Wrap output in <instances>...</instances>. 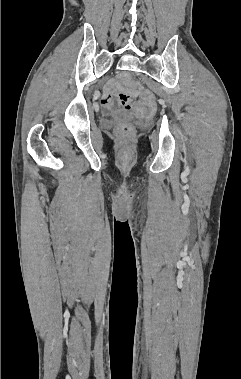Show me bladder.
I'll list each match as a JSON object with an SVG mask.
<instances>
[{
  "mask_svg": "<svg viewBox=\"0 0 241 379\" xmlns=\"http://www.w3.org/2000/svg\"><path fill=\"white\" fill-rule=\"evenodd\" d=\"M112 117L114 119H124V118L128 117V114L123 113V112H118V113L112 114Z\"/></svg>",
  "mask_w": 241,
  "mask_h": 379,
  "instance_id": "obj_1",
  "label": "bladder"
}]
</instances>
